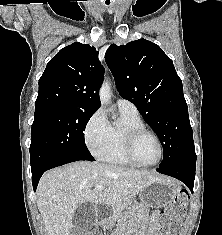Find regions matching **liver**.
Returning <instances> with one entry per match:
<instances>
[{"label": "liver", "instance_id": "obj_1", "mask_svg": "<svg viewBox=\"0 0 222 235\" xmlns=\"http://www.w3.org/2000/svg\"><path fill=\"white\" fill-rule=\"evenodd\" d=\"M159 178L145 170L86 161L47 171L37 188V207L47 235H70L79 205L126 203ZM96 186L105 188L95 191Z\"/></svg>", "mask_w": 222, "mask_h": 235}]
</instances>
